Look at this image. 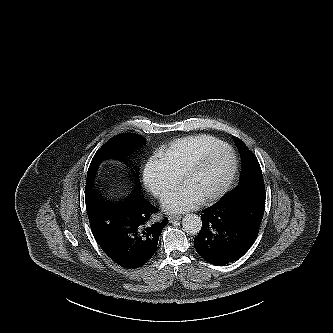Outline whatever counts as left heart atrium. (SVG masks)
I'll return each instance as SVG.
<instances>
[{"label": "left heart atrium", "instance_id": "39dd6f15", "mask_svg": "<svg viewBox=\"0 0 333 333\" xmlns=\"http://www.w3.org/2000/svg\"><path fill=\"white\" fill-rule=\"evenodd\" d=\"M201 199L202 197L193 188L183 184L164 195L162 206L168 212L179 213L196 207Z\"/></svg>", "mask_w": 333, "mask_h": 333}]
</instances>
